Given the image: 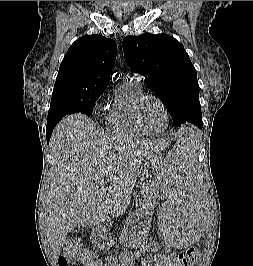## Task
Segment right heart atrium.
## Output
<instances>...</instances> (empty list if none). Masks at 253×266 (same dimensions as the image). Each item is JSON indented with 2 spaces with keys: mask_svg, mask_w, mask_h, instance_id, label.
Listing matches in <instances>:
<instances>
[{
  "mask_svg": "<svg viewBox=\"0 0 253 266\" xmlns=\"http://www.w3.org/2000/svg\"><path fill=\"white\" fill-rule=\"evenodd\" d=\"M101 97L98 99V101H97V103H96V106H98L99 104H100V102H101Z\"/></svg>",
  "mask_w": 253,
  "mask_h": 266,
  "instance_id": "obj_1",
  "label": "right heart atrium"
}]
</instances>
